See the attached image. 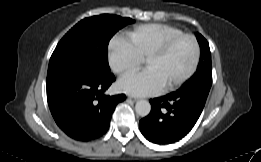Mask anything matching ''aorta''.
<instances>
[{
  "label": "aorta",
  "mask_w": 261,
  "mask_h": 162,
  "mask_svg": "<svg viewBox=\"0 0 261 162\" xmlns=\"http://www.w3.org/2000/svg\"><path fill=\"white\" fill-rule=\"evenodd\" d=\"M135 111L139 116L145 117L150 113L151 105L146 100H139L135 105Z\"/></svg>",
  "instance_id": "1"
}]
</instances>
